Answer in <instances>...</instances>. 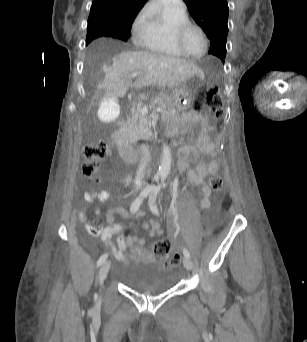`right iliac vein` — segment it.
Wrapping results in <instances>:
<instances>
[{"label": "right iliac vein", "instance_id": "obj_1", "mask_svg": "<svg viewBox=\"0 0 307 342\" xmlns=\"http://www.w3.org/2000/svg\"><path fill=\"white\" fill-rule=\"evenodd\" d=\"M110 265H111V262L110 261H106L102 264L100 270H99V276H98V279H99V283L102 285L108 272H109V269H110Z\"/></svg>", "mask_w": 307, "mask_h": 342}]
</instances>
